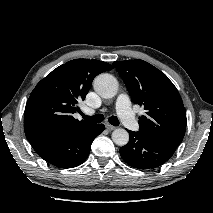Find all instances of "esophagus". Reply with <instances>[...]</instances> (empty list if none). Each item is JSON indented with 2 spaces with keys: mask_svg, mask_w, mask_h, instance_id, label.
<instances>
[{
  "mask_svg": "<svg viewBox=\"0 0 213 213\" xmlns=\"http://www.w3.org/2000/svg\"><path fill=\"white\" fill-rule=\"evenodd\" d=\"M106 128L108 129V130H110V131H112V130H115L116 129V127L115 126H113V125H110V124H106Z\"/></svg>",
  "mask_w": 213,
  "mask_h": 213,
  "instance_id": "esophagus-1",
  "label": "esophagus"
}]
</instances>
